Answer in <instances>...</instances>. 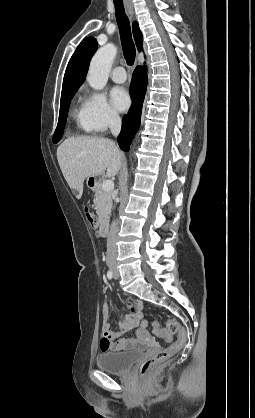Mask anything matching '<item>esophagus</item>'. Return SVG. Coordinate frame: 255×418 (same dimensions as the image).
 Returning <instances> with one entry per match:
<instances>
[{"mask_svg": "<svg viewBox=\"0 0 255 418\" xmlns=\"http://www.w3.org/2000/svg\"><path fill=\"white\" fill-rule=\"evenodd\" d=\"M127 8H128L129 13L132 15L133 14V7H132L131 3H127Z\"/></svg>", "mask_w": 255, "mask_h": 418, "instance_id": "obj_1", "label": "esophagus"}]
</instances>
